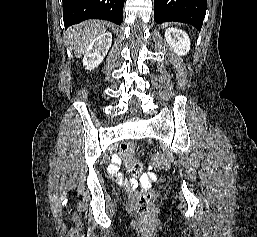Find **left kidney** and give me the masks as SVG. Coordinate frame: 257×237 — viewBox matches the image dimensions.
Listing matches in <instances>:
<instances>
[{"label":"left kidney","mask_w":257,"mask_h":237,"mask_svg":"<svg viewBox=\"0 0 257 237\" xmlns=\"http://www.w3.org/2000/svg\"><path fill=\"white\" fill-rule=\"evenodd\" d=\"M167 44L173 49L174 53L179 56L187 54L190 50V39L188 35L178 29L168 28L165 31Z\"/></svg>","instance_id":"left-kidney-1"}]
</instances>
